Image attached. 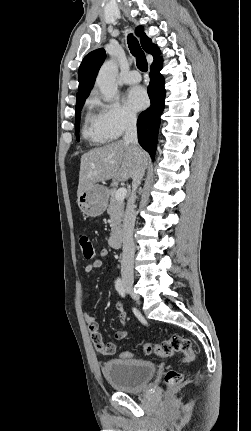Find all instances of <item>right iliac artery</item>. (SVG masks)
Instances as JSON below:
<instances>
[{"label":"right iliac artery","mask_w":251,"mask_h":431,"mask_svg":"<svg viewBox=\"0 0 251 431\" xmlns=\"http://www.w3.org/2000/svg\"><path fill=\"white\" fill-rule=\"evenodd\" d=\"M115 288L122 297H125V289L120 278L115 281Z\"/></svg>","instance_id":"obj_1"}]
</instances>
